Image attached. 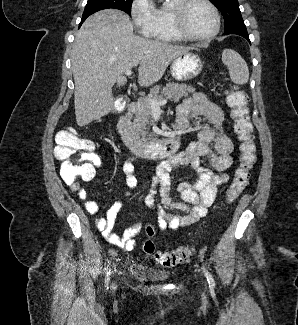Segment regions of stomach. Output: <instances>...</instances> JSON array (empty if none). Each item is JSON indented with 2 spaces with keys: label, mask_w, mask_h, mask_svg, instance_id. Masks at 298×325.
<instances>
[{
  "label": "stomach",
  "mask_w": 298,
  "mask_h": 325,
  "mask_svg": "<svg viewBox=\"0 0 298 325\" xmlns=\"http://www.w3.org/2000/svg\"><path fill=\"white\" fill-rule=\"evenodd\" d=\"M203 66L204 60L197 50H188L186 54H180L172 60L169 72L174 80H190L200 74Z\"/></svg>",
  "instance_id": "1"
}]
</instances>
